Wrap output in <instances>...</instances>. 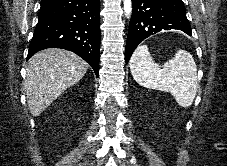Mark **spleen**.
I'll return each mask as SVG.
<instances>
[{"mask_svg":"<svg viewBox=\"0 0 227 166\" xmlns=\"http://www.w3.org/2000/svg\"><path fill=\"white\" fill-rule=\"evenodd\" d=\"M135 81L146 88L170 92L181 107L192 105L197 92V67L190 53L177 50L160 66L153 61L147 45L138 46L130 59Z\"/></svg>","mask_w":227,"mask_h":166,"instance_id":"3e777b00","label":"spleen"}]
</instances>
